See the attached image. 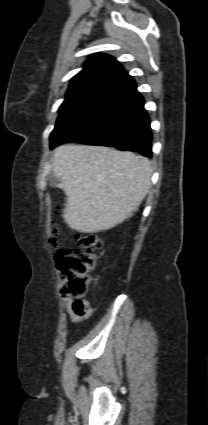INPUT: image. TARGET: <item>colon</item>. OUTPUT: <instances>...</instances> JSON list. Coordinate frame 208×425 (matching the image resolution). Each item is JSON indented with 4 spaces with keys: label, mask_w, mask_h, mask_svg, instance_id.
<instances>
[{
    "label": "colon",
    "mask_w": 208,
    "mask_h": 425,
    "mask_svg": "<svg viewBox=\"0 0 208 425\" xmlns=\"http://www.w3.org/2000/svg\"><path fill=\"white\" fill-rule=\"evenodd\" d=\"M50 245L57 251L55 260L61 276L62 295L74 300L78 308L86 307L89 276L103 253L102 239L94 233L80 234L77 249L72 251L61 247L59 231L54 227Z\"/></svg>",
    "instance_id": "colon-1"
}]
</instances>
